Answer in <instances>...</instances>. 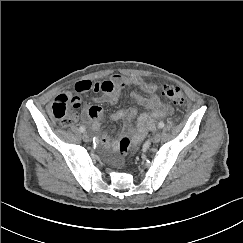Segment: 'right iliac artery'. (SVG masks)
I'll return each instance as SVG.
<instances>
[{
	"mask_svg": "<svg viewBox=\"0 0 243 243\" xmlns=\"http://www.w3.org/2000/svg\"><path fill=\"white\" fill-rule=\"evenodd\" d=\"M79 130H80L81 132H84V131H85V128H84L83 126H81V127L79 128Z\"/></svg>",
	"mask_w": 243,
	"mask_h": 243,
	"instance_id": "1",
	"label": "right iliac artery"
}]
</instances>
